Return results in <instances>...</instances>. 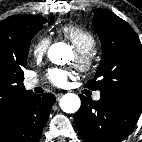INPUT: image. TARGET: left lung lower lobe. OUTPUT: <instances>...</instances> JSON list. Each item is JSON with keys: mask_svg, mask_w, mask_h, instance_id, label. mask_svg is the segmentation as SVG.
<instances>
[{"mask_svg": "<svg viewBox=\"0 0 142 142\" xmlns=\"http://www.w3.org/2000/svg\"><path fill=\"white\" fill-rule=\"evenodd\" d=\"M81 107L75 123L84 142H121L135 127L142 109L116 104L105 98L88 100L79 95Z\"/></svg>", "mask_w": 142, "mask_h": 142, "instance_id": "obj_1", "label": "left lung lower lobe"}]
</instances>
